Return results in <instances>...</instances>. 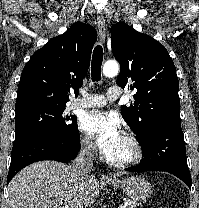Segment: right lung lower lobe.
Returning <instances> with one entry per match:
<instances>
[{
	"mask_svg": "<svg viewBox=\"0 0 199 208\" xmlns=\"http://www.w3.org/2000/svg\"><path fill=\"white\" fill-rule=\"evenodd\" d=\"M78 130L66 138L45 134H32L15 140L12 148L7 184L25 166L42 160L67 163L76 158L80 150Z\"/></svg>",
	"mask_w": 199,
	"mask_h": 208,
	"instance_id": "98d812e1",
	"label": "right lung lower lobe"
}]
</instances>
